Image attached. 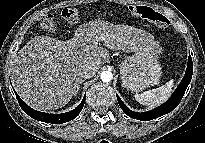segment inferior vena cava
<instances>
[{"label":"inferior vena cava","instance_id":"inferior-vena-cava-1","mask_svg":"<svg viewBox=\"0 0 205 143\" xmlns=\"http://www.w3.org/2000/svg\"><path fill=\"white\" fill-rule=\"evenodd\" d=\"M98 71V67L96 65H86L82 68L80 72L81 78L89 79L92 78L96 72Z\"/></svg>","mask_w":205,"mask_h":143}]
</instances>
